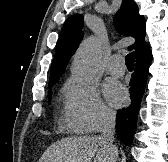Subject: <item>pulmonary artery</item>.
<instances>
[{
  "label": "pulmonary artery",
  "instance_id": "obj_1",
  "mask_svg": "<svg viewBox=\"0 0 168 162\" xmlns=\"http://www.w3.org/2000/svg\"><path fill=\"white\" fill-rule=\"evenodd\" d=\"M106 70L114 76H122L125 73L124 61L119 54H114L108 59Z\"/></svg>",
  "mask_w": 168,
  "mask_h": 162
}]
</instances>
